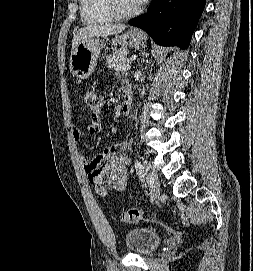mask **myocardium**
Listing matches in <instances>:
<instances>
[{"label": "myocardium", "mask_w": 253, "mask_h": 271, "mask_svg": "<svg viewBox=\"0 0 253 271\" xmlns=\"http://www.w3.org/2000/svg\"><path fill=\"white\" fill-rule=\"evenodd\" d=\"M108 7L115 18L126 19L140 14L143 10L144 4L141 3L138 7L126 10L122 6L121 0H107Z\"/></svg>", "instance_id": "obj_1"}]
</instances>
